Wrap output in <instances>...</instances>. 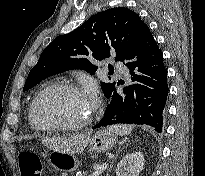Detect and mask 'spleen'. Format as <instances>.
Returning <instances> with one entry per match:
<instances>
[{"label":"spleen","instance_id":"spleen-1","mask_svg":"<svg viewBox=\"0 0 205 176\" xmlns=\"http://www.w3.org/2000/svg\"><path fill=\"white\" fill-rule=\"evenodd\" d=\"M133 127L131 125H113L109 130L120 136H125L131 133Z\"/></svg>","mask_w":205,"mask_h":176}]
</instances>
